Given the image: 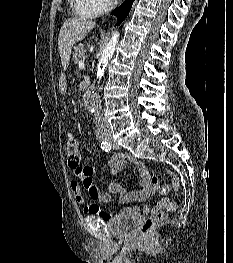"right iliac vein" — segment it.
<instances>
[{
    "instance_id": "1",
    "label": "right iliac vein",
    "mask_w": 233,
    "mask_h": 263,
    "mask_svg": "<svg viewBox=\"0 0 233 263\" xmlns=\"http://www.w3.org/2000/svg\"><path fill=\"white\" fill-rule=\"evenodd\" d=\"M105 139H106V140H109V138H107V137H106Z\"/></svg>"
}]
</instances>
